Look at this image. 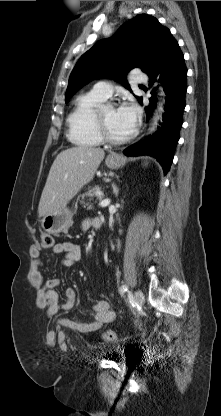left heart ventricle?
Returning a JSON list of instances; mask_svg holds the SVG:
<instances>
[{"mask_svg":"<svg viewBox=\"0 0 221 416\" xmlns=\"http://www.w3.org/2000/svg\"><path fill=\"white\" fill-rule=\"evenodd\" d=\"M102 116L112 137L116 139H123L130 135L119 119L115 108L110 106L103 108Z\"/></svg>","mask_w":221,"mask_h":416,"instance_id":"left-heart-ventricle-1","label":"left heart ventricle"}]
</instances>
